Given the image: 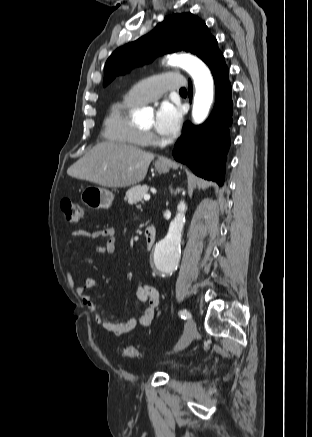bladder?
<instances>
[{
  "label": "bladder",
  "instance_id": "bladder-1",
  "mask_svg": "<svg viewBox=\"0 0 312 437\" xmlns=\"http://www.w3.org/2000/svg\"><path fill=\"white\" fill-rule=\"evenodd\" d=\"M168 372L170 375H177L182 371V366L176 361H167Z\"/></svg>",
  "mask_w": 312,
  "mask_h": 437
}]
</instances>
